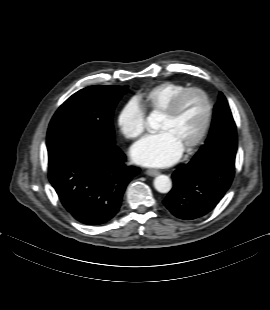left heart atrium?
I'll use <instances>...</instances> for the list:
<instances>
[{"mask_svg":"<svg viewBox=\"0 0 270 310\" xmlns=\"http://www.w3.org/2000/svg\"><path fill=\"white\" fill-rule=\"evenodd\" d=\"M182 148L166 132L148 135L131 149L133 161L145 167H165L177 161Z\"/></svg>","mask_w":270,"mask_h":310,"instance_id":"obj_1","label":"left heart atrium"}]
</instances>
